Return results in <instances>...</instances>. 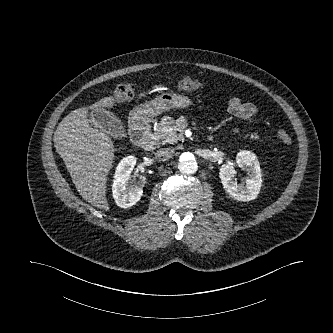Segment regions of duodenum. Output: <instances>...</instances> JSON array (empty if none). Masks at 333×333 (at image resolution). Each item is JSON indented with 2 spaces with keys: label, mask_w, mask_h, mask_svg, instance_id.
Here are the masks:
<instances>
[{
  "label": "duodenum",
  "mask_w": 333,
  "mask_h": 333,
  "mask_svg": "<svg viewBox=\"0 0 333 333\" xmlns=\"http://www.w3.org/2000/svg\"><path fill=\"white\" fill-rule=\"evenodd\" d=\"M130 135L132 141L144 150L150 151L156 147V138L151 132L150 123L146 114H139L133 119Z\"/></svg>",
  "instance_id": "410a0bca"
}]
</instances>
